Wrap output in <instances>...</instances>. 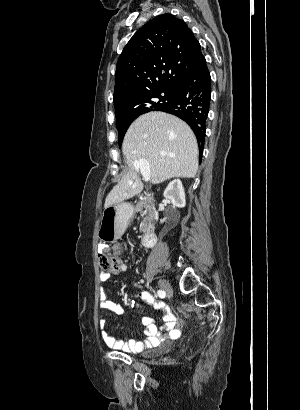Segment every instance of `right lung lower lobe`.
Listing matches in <instances>:
<instances>
[{
    "label": "right lung lower lobe",
    "instance_id": "right-lung-lower-lobe-1",
    "mask_svg": "<svg viewBox=\"0 0 300 410\" xmlns=\"http://www.w3.org/2000/svg\"><path fill=\"white\" fill-rule=\"evenodd\" d=\"M210 99L211 79L203 58L179 81L173 101L157 110L176 115L191 127L198 141L200 155L204 147Z\"/></svg>",
    "mask_w": 300,
    "mask_h": 410
}]
</instances>
